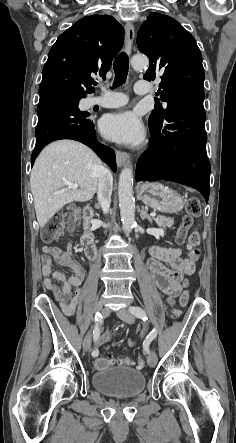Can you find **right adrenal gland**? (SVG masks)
<instances>
[{"mask_svg":"<svg viewBox=\"0 0 236 443\" xmlns=\"http://www.w3.org/2000/svg\"><path fill=\"white\" fill-rule=\"evenodd\" d=\"M96 209H100L99 204H95Z\"/></svg>","mask_w":236,"mask_h":443,"instance_id":"1","label":"right adrenal gland"}]
</instances>
